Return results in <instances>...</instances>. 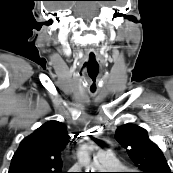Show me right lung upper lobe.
Segmentation results:
<instances>
[{"mask_svg":"<svg viewBox=\"0 0 173 173\" xmlns=\"http://www.w3.org/2000/svg\"><path fill=\"white\" fill-rule=\"evenodd\" d=\"M70 142L67 127L58 121H49L24 138L12 157L9 173H62L61 155Z\"/></svg>","mask_w":173,"mask_h":173,"instance_id":"obj_1","label":"right lung upper lobe"}]
</instances>
